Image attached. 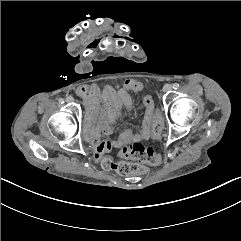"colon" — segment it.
I'll list each match as a JSON object with an SVG mask.
<instances>
[{"mask_svg":"<svg viewBox=\"0 0 241 241\" xmlns=\"http://www.w3.org/2000/svg\"><path fill=\"white\" fill-rule=\"evenodd\" d=\"M162 131V122L160 117H157L156 122L153 127V137L158 138L161 135ZM105 154V153H104ZM120 156L128 159H141L142 161L156 165L159 164L162 160L161 156L157 154V152L143 144V143H133L131 145H127L120 152ZM104 160H107L109 164H104L102 166V171L104 173H109L111 169H115L118 172L120 171L123 174H145L147 172V167L145 165H133L126 163L125 161H120L118 164L113 163L108 155L102 156L101 164Z\"/></svg>","mask_w":241,"mask_h":241,"instance_id":"colon-1","label":"colon"}]
</instances>
